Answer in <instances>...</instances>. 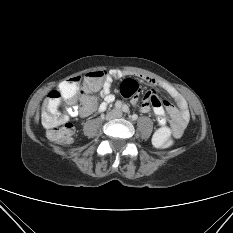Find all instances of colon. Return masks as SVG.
Masks as SVG:
<instances>
[{"instance_id":"5ec220e1","label":"colon","mask_w":233,"mask_h":233,"mask_svg":"<svg viewBox=\"0 0 233 233\" xmlns=\"http://www.w3.org/2000/svg\"><path fill=\"white\" fill-rule=\"evenodd\" d=\"M105 72L94 71L86 74L81 96L92 101V93L98 91L104 81ZM80 77H74L65 81L60 90H53L49 93L46 109L43 114V124L48 130V136L53 141L61 144L69 143L72 139L74 128L67 121V115L64 112L62 98H71L74 96ZM138 90V83L133 79H126L120 86V91L124 96H131ZM154 145L158 148H169L173 145L172 132L169 128L163 127L156 131L153 137Z\"/></svg>"}]
</instances>
